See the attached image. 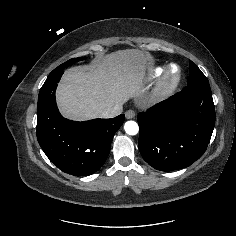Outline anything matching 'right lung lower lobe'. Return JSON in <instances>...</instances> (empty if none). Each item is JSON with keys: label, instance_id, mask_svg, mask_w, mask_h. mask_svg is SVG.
Wrapping results in <instances>:
<instances>
[{"label": "right lung lower lobe", "instance_id": "1", "mask_svg": "<svg viewBox=\"0 0 236 236\" xmlns=\"http://www.w3.org/2000/svg\"><path fill=\"white\" fill-rule=\"evenodd\" d=\"M63 70L49 74L39 92L37 139L49 160L63 172L88 176L106 161L114 134L125 120L121 114L111 119L75 122L58 111L55 90Z\"/></svg>", "mask_w": 236, "mask_h": 236}]
</instances>
